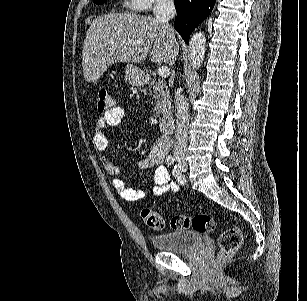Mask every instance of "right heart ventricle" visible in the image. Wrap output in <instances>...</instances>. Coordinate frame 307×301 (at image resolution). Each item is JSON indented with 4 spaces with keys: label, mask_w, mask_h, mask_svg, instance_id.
<instances>
[{
    "label": "right heart ventricle",
    "mask_w": 307,
    "mask_h": 301,
    "mask_svg": "<svg viewBox=\"0 0 307 301\" xmlns=\"http://www.w3.org/2000/svg\"><path fill=\"white\" fill-rule=\"evenodd\" d=\"M136 3L137 1H132V8H137Z\"/></svg>",
    "instance_id": "1"
}]
</instances>
